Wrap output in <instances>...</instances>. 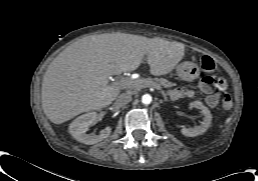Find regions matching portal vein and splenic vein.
<instances>
[{
	"label": "portal vein and splenic vein",
	"instance_id": "18ae733b",
	"mask_svg": "<svg viewBox=\"0 0 258 181\" xmlns=\"http://www.w3.org/2000/svg\"><path fill=\"white\" fill-rule=\"evenodd\" d=\"M119 85H122V84H119ZM128 85L143 87V81H139V82L129 81ZM155 88H158V87H155Z\"/></svg>",
	"mask_w": 258,
	"mask_h": 181
}]
</instances>
